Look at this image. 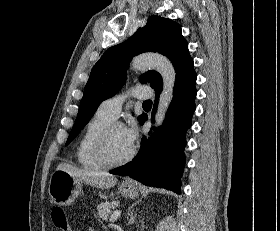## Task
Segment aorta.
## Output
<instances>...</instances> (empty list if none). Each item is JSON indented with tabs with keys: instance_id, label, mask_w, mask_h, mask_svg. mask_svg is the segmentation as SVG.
I'll list each match as a JSON object with an SVG mask.
<instances>
[{
	"instance_id": "obj_1",
	"label": "aorta",
	"mask_w": 280,
	"mask_h": 231,
	"mask_svg": "<svg viewBox=\"0 0 280 231\" xmlns=\"http://www.w3.org/2000/svg\"><path fill=\"white\" fill-rule=\"evenodd\" d=\"M133 70H147L154 68L162 76L163 90L159 98L157 112L155 114V125H161L173 98V88L176 80V72L169 60L160 54H142L132 60Z\"/></svg>"
}]
</instances>
